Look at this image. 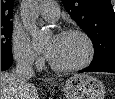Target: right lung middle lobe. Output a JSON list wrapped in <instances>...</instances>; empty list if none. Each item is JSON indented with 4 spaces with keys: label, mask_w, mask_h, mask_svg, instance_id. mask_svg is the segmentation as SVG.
<instances>
[{
    "label": "right lung middle lobe",
    "mask_w": 115,
    "mask_h": 99,
    "mask_svg": "<svg viewBox=\"0 0 115 99\" xmlns=\"http://www.w3.org/2000/svg\"><path fill=\"white\" fill-rule=\"evenodd\" d=\"M12 24H1V59L12 58Z\"/></svg>",
    "instance_id": "obj_1"
}]
</instances>
